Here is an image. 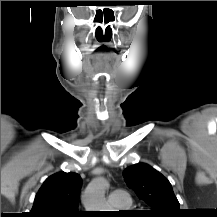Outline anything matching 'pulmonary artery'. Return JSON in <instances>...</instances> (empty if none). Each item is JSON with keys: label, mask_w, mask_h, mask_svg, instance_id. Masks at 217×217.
<instances>
[{"label": "pulmonary artery", "mask_w": 217, "mask_h": 217, "mask_svg": "<svg viewBox=\"0 0 217 217\" xmlns=\"http://www.w3.org/2000/svg\"><path fill=\"white\" fill-rule=\"evenodd\" d=\"M108 202L115 209H126L131 205V198L126 190L116 189L108 195Z\"/></svg>", "instance_id": "e3ab8cb5"}]
</instances>
